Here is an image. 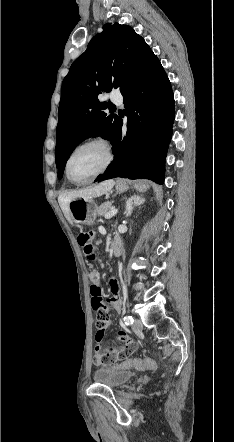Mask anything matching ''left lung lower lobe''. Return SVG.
Here are the masks:
<instances>
[{
	"mask_svg": "<svg viewBox=\"0 0 234 442\" xmlns=\"http://www.w3.org/2000/svg\"><path fill=\"white\" fill-rule=\"evenodd\" d=\"M127 133L119 120L113 146L114 160L95 181L115 177L164 182L165 158L175 117L170 81L153 53L137 78L122 92Z\"/></svg>",
	"mask_w": 234,
	"mask_h": 442,
	"instance_id": "left-lung-lower-lobe-1",
	"label": "left lung lower lobe"
}]
</instances>
